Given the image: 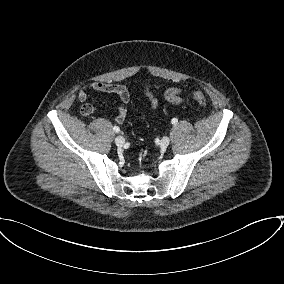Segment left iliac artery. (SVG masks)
<instances>
[{
    "instance_id": "obj_1",
    "label": "left iliac artery",
    "mask_w": 284,
    "mask_h": 284,
    "mask_svg": "<svg viewBox=\"0 0 284 284\" xmlns=\"http://www.w3.org/2000/svg\"><path fill=\"white\" fill-rule=\"evenodd\" d=\"M171 123H172L173 125H176V124L178 123L177 118H173V119L171 120Z\"/></svg>"
}]
</instances>
